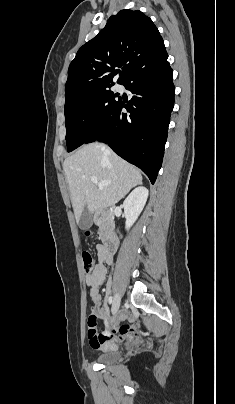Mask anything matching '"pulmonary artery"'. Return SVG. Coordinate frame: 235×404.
<instances>
[{
	"instance_id": "e3ab8cb5",
	"label": "pulmonary artery",
	"mask_w": 235,
	"mask_h": 404,
	"mask_svg": "<svg viewBox=\"0 0 235 404\" xmlns=\"http://www.w3.org/2000/svg\"><path fill=\"white\" fill-rule=\"evenodd\" d=\"M117 89H118V90H120V89H121V87H120V86H117Z\"/></svg>"
}]
</instances>
